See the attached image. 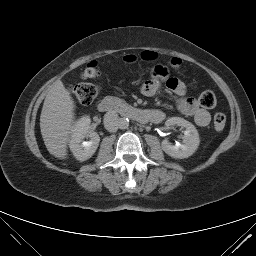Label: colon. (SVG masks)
<instances>
[{"instance_id": "obj_1", "label": "colon", "mask_w": 256, "mask_h": 256, "mask_svg": "<svg viewBox=\"0 0 256 256\" xmlns=\"http://www.w3.org/2000/svg\"><path fill=\"white\" fill-rule=\"evenodd\" d=\"M156 58L153 52H144L141 55L143 60H153ZM137 59L136 56L130 55L126 56L125 60L127 62H133ZM181 61L179 59H172L171 65L173 67H179ZM100 77V70L96 61L89 62L81 73V78L83 80H95ZM99 87L96 84L81 82L72 86L71 92L75 98L84 105L91 104L99 94ZM199 103L202 107L207 109H212L217 104V99L212 91H204L199 96ZM214 127L217 131H222L226 125V116L223 113H216L214 116Z\"/></svg>"}]
</instances>
